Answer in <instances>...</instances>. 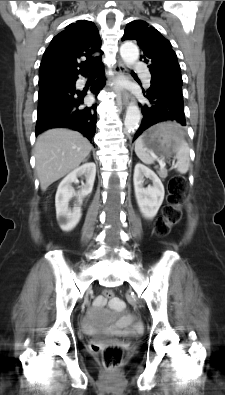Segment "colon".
<instances>
[{
    "instance_id": "obj_1",
    "label": "colon",
    "mask_w": 225,
    "mask_h": 395,
    "mask_svg": "<svg viewBox=\"0 0 225 395\" xmlns=\"http://www.w3.org/2000/svg\"><path fill=\"white\" fill-rule=\"evenodd\" d=\"M185 191L186 181L183 177L175 176L169 180L167 204L163 208L162 216L154 225V233L157 236L168 235L171 228L180 222V204L184 198ZM102 294L110 299L113 296V291L112 289H103ZM94 349L100 354L104 365L108 368L119 366L125 354L123 344L118 341L102 345L95 344Z\"/></svg>"
}]
</instances>
